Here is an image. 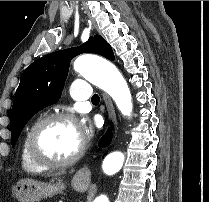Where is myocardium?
<instances>
[{
  "label": "myocardium",
  "mask_w": 209,
  "mask_h": 202,
  "mask_svg": "<svg viewBox=\"0 0 209 202\" xmlns=\"http://www.w3.org/2000/svg\"><path fill=\"white\" fill-rule=\"evenodd\" d=\"M55 121H67L77 126L79 125L78 120L75 116L70 115L68 113H64V112H57V113L46 115L35 122V124L32 126L29 132L26 149H27V154L30 160L35 165H37L38 167L42 169L66 168L74 164L77 160H79L85 152L86 141H85V138L82 137L78 150L72 156H70L69 158L65 160L51 161V160H47L41 157L37 153L35 141H36V137L38 133L44 126Z\"/></svg>",
  "instance_id": "myocardium-1"
}]
</instances>
